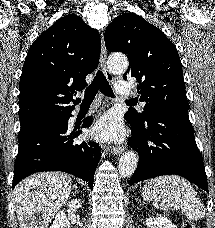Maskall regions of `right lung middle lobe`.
Instances as JSON below:
<instances>
[{
	"instance_id": "obj_1",
	"label": "right lung middle lobe",
	"mask_w": 215,
	"mask_h": 228,
	"mask_svg": "<svg viewBox=\"0 0 215 228\" xmlns=\"http://www.w3.org/2000/svg\"><path fill=\"white\" fill-rule=\"evenodd\" d=\"M64 120H65V114H58V115L44 116L41 118H37L34 120L21 123L19 138L29 135L40 128L53 125V124L63 123Z\"/></svg>"
}]
</instances>
